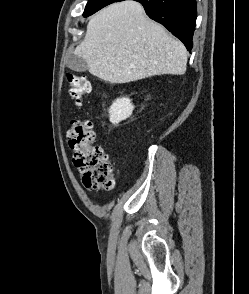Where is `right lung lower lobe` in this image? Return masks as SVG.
Here are the masks:
<instances>
[{
	"label": "right lung lower lobe",
	"mask_w": 249,
	"mask_h": 294,
	"mask_svg": "<svg viewBox=\"0 0 249 294\" xmlns=\"http://www.w3.org/2000/svg\"><path fill=\"white\" fill-rule=\"evenodd\" d=\"M123 1V0H117ZM140 2L147 15L164 25L179 38L188 51L193 47L192 37L196 24V0H135Z\"/></svg>",
	"instance_id": "98d812e1"
}]
</instances>
